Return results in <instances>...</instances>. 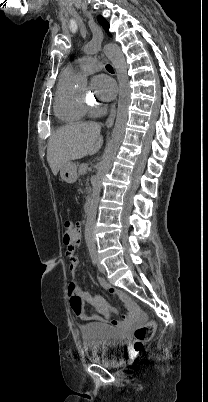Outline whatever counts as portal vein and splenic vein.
<instances>
[{
	"instance_id": "18ae733b",
	"label": "portal vein and splenic vein",
	"mask_w": 208,
	"mask_h": 402,
	"mask_svg": "<svg viewBox=\"0 0 208 402\" xmlns=\"http://www.w3.org/2000/svg\"><path fill=\"white\" fill-rule=\"evenodd\" d=\"M87 166H88V163H87V162H83L82 165L80 166V169H81V170H85V169L87 168Z\"/></svg>"
}]
</instances>
